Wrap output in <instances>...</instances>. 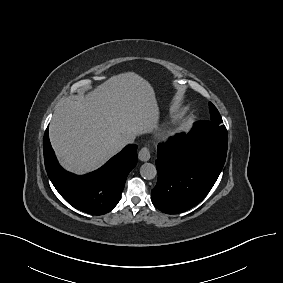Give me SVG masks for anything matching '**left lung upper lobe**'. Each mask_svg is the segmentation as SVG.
I'll return each instance as SVG.
<instances>
[{
    "label": "left lung upper lobe",
    "mask_w": 283,
    "mask_h": 283,
    "mask_svg": "<svg viewBox=\"0 0 283 283\" xmlns=\"http://www.w3.org/2000/svg\"><path fill=\"white\" fill-rule=\"evenodd\" d=\"M209 112H210V116H211V122L215 125L221 126V127H225L224 125H222L223 121L222 118L217 110V108L210 102L209 103Z\"/></svg>",
    "instance_id": "1"
}]
</instances>
